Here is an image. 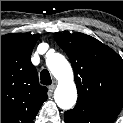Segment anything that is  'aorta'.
<instances>
[{
  "label": "aorta",
  "mask_w": 123,
  "mask_h": 123,
  "mask_svg": "<svg viewBox=\"0 0 123 123\" xmlns=\"http://www.w3.org/2000/svg\"><path fill=\"white\" fill-rule=\"evenodd\" d=\"M46 65L58 80L54 99L63 110L71 109L77 101V89L74 83L73 70L67 59L59 53H53L46 59Z\"/></svg>",
  "instance_id": "aorta-1"
}]
</instances>
